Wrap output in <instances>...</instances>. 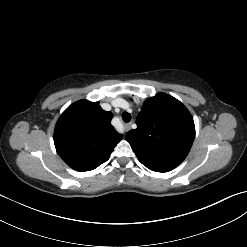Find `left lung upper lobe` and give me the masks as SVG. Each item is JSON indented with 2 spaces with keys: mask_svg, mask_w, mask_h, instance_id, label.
I'll return each mask as SVG.
<instances>
[{
  "mask_svg": "<svg viewBox=\"0 0 247 247\" xmlns=\"http://www.w3.org/2000/svg\"><path fill=\"white\" fill-rule=\"evenodd\" d=\"M129 131L130 143L139 161L148 169L168 172L188 155L195 137L193 118L176 98L160 93L144 102Z\"/></svg>",
  "mask_w": 247,
  "mask_h": 247,
  "instance_id": "5c2ea615",
  "label": "left lung upper lobe"
}]
</instances>
